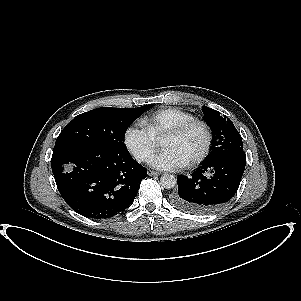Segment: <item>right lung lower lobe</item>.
Wrapping results in <instances>:
<instances>
[{"label":"right lung lower lobe","instance_id":"right-lung-lower-lobe-1","mask_svg":"<svg viewBox=\"0 0 301 301\" xmlns=\"http://www.w3.org/2000/svg\"><path fill=\"white\" fill-rule=\"evenodd\" d=\"M51 167L65 202L93 219L110 218L128 208L147 175L127 151L93 144L53 150Z\"/></svg>","mask_w":301,"mask_h":301}]
</instances>
